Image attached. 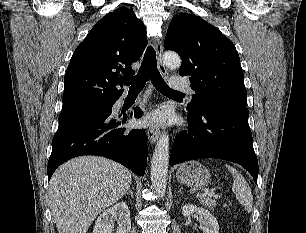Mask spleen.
<instances>
[{
  "label": "spleen",
  "mask_w": 306,
  "mask_h": 233,
  "mask_svg": "<svg viewBox=\"0 0 306 233\" xmlns=\"http://www.w3.org/2000/svg\"><path fill=\"white\" fill-rule=\"evenodd\" d=\"M226 167L233 176L232 191L236 195V199L250 213L253 206V196L248 183L235 168L229 165H226Z\"/></svg>",
  "instance_id": "1"
}]
</instances>
